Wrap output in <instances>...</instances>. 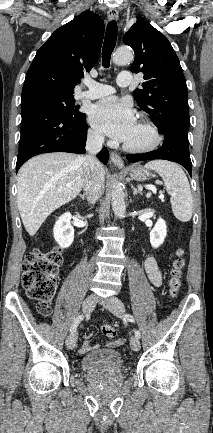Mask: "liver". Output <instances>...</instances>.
Segmentation results:
<instances>
[{
  "instance_id": "liver-1",
  "label": "liver",
  "mask_w": 213,
  "mask_h": 433,
  "mask_svg": "<svg viewBox=\"0 0 213 433\" xmlns=\"http://www.w3.org/2000/svg\"><path fill=\"white\" fill-rule=\"evenodd\" d=\"M100 169L104 175L102 164ZM85 177L84 158L71 153L42 154L30 159L20 168L17 177V206L30 236L36 234L53 211L80 193Z\"/></svg>"
}]
</instances>
